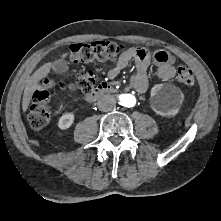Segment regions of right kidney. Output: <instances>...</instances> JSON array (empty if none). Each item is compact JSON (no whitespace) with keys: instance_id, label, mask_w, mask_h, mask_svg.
<instances>
[{"instance_id":"right-kidney-1","label":"right kidney","mask_w":221,"mask_h":221,"mask_svg":"<svg viewBox=\"0 0 221 221\" xmlns=\"http://www.w3.org/2000/svg\"><path fill=\"white\" fill-rule=\"evenodd\" d=\"M74 122V114L65 113L63 114L58 121V127L62 130L68 129Z\"/></svg>"}]
</instances>
